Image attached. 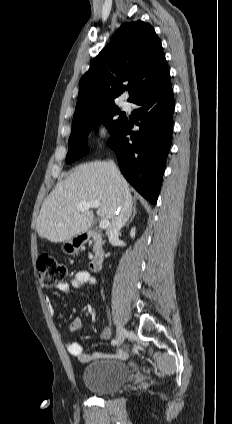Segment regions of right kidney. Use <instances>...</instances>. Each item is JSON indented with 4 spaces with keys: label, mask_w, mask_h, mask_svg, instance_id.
I'll return each mask as SVG.
<instances>
[{
    "label": "right kidney",
    "mask_w": 232,
    "mask_h": 424,
    "mask_svg": "<svg viewBox=\"0 0 232 424\" xmlns=\"http://www.w3.org/2000/svg\"><path fill=\"white\" fill-rule=\"evenodd\" d=\"M135 231H136L135 227H133V228L131 229V231H130V236H131L132 238H134V237H135Z\"/></svg>",
    "instance_id": "1"
}]
</instances>
